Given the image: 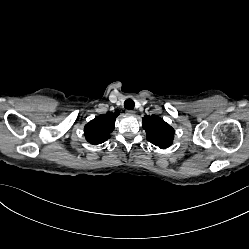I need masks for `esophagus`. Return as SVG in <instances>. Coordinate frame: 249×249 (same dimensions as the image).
Listing matches in <instances>:
<instances>
[{"mask_svg": "<svg viewBox=\"0 0 249 249\" xmlns=\"http://www.w3.org/2000/svg\"><path fill=\"white\" fill-rule=\"evenodd\" d=\"M128 115H135V111L134 110H127L126 111Z\"/></svg>", "mask_w": 249, "mask_h": 249, "instance_id": "34e87169", "label": "esophagus"}]
</instances>
